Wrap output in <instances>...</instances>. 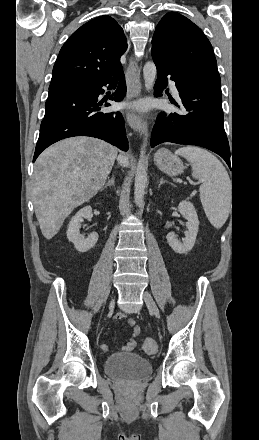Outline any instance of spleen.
<instances>
[{
	"label": "spleen",
	"mask_w": 259,
	"mask_h": 440,
	"mask_svg": "<svg viewBox=\"0 0 259 440\" xmlns=\"http://www.w3.org/2000/svg\"><path fill=\"white\" fill-rule=\"evenodd\" d=\"M192 166V176L202 181L200 199L210 223L217 229L226 222L231 205V180L223 164L205 149L186 146L175 152Z\"/></svg>",
	"instance_id": "obj_1"
}]
</instances>
